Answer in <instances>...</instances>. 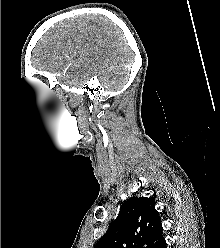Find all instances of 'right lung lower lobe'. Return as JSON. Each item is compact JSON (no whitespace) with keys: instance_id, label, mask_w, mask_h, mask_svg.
Here are the masks:
<instances>
[{"instance_id":"obj_1","label":"right lung lower lobe","mask_w":220,"mask_h":248,"mask_svg":"<svg viewBox=\"0 0 220 248\" xmlns=\"http://www.w3.org/2000/svg\"><path fill=\"white\" fill-rule=\"evenodd\" d=\"M156 248H166V242L165 240L163 239L157 246Z\"/></svg>"}]
</instances>
